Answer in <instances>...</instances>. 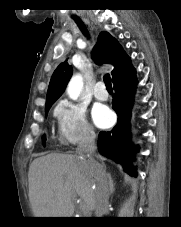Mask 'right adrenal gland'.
Listing matches in <instances>:
<instances>
[{
	"mask_svg": "<svg viewBox=\"0 0 181 227\" xmlns=\"http://www.w3.org/2000/svg\"><path fill=\"white\" fill-rule=\"evenodd\" d=\"M107 178H108V181L110 183V188H109L110 194H113V192H114V182L112 180V177H111L110 173H107Z\"/></svg>",
	"mask_w": 181,
	"mask_h": 227,
	"instance_id": "1",
	"label": "right adrenal gland"
}]
</instances>
